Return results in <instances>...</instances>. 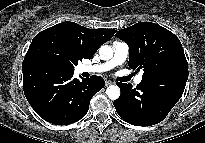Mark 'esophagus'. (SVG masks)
<instances>
[{
    "instance_id": "34e87169",
    "label": "esophagus",
    "mask_w": 205,
    "mask_h": 143,
    "mask_svg": "<svg viewBox=\"0 0 205 143\" xmlns=\"http://www.w3.org/2000/svg\"><path fill=\"white\" fill-rule=\"evenodd\" d=\"M112 83H113V82L110 81V80H106V81H105V85H106V86L111 85Z\"/></svg>"
}]
</instances>
